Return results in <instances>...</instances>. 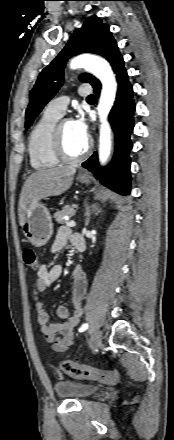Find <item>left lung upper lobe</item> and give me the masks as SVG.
<instances>
[{
	"mask_svg": "<svg viewBox=\"0 0 174 440\" xmlns=\"http://www.w3.org/2000/svg\"><path fill=\"white\" fill-rule=\"evenodd\" d=\"M83 52L98 54L110 61L119 52L109 26L100 18L87 19L82 28L71 36L60 54L40 73L35 86L30 92V102L26 109V128H29L36 116L62 85L66 61ZM81 81L91 85L98 80L91 74H82Z\"/></svg>",
	"mask_w": 174,
	"mask_h": 440,
	"instance_id": "1",
	"label": "left lung upper lobe"
}]
</instances>
